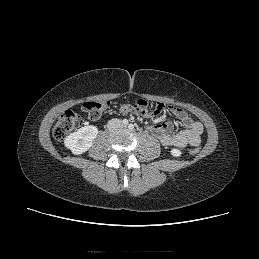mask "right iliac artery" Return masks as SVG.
I'll return each mask as SVG.
<instances>
[{"label": "right iliac artery", "mask_w": 259, "mask_h": 259, "mask_svg": "<svg viewBox=\"0 0 259 259\" xmlns=\"http://www.w3.org/2000/svg\"><path fill=\"white\" fill-rule=\"evenodd\" d=\"M122 123L126 126V125L128 124V120H127V119H124V120L122 121Z\"/></svg>", "instance_id": "obj_1"}]
</instances>
